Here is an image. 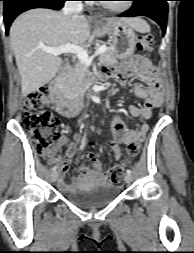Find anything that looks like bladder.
Segmentation results:
<instances>
[{"label": "bladder", "mask_w": 194, "mask_h": 253, "mask_svg": "<svg viewBox=\"0 0 194 253\" xmlns=\"http://www.w3.org/2000/svg\"><path fill=\"white\" fill-rule=\"evenodd\" d=\"M119 193L120 190L115 185L98 184L73 189L65 194V198L79 208L93 210L110 204L119 196Z\"/></svg>", "instance_id": "1"}]
</instances>
